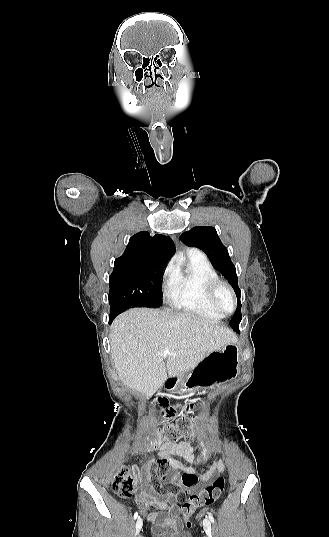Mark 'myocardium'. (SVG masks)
Returning a JSON list of instances; mask_svg holds the SVG:
<instances>
[{"label": "myocardium", "mask_w": 329, "mask_h": 537, "mask_svg": "<svg viewBox=\"0 0 329 537\" xmlns=\"http://www.w3.org/2000/svg\"><path fill=\"white\" fill-rule=\"evenodd\" d=\"M223 289L228 291L233 299V308L229 312L222 309V307L219 305L218 300H217L219 291ZM207 296H208V300L210 304L222 315H231L237 309L238 299H237L236 293L233 290V288L226 282H223L219 279L210 282L207 288Z\"/></svg>", "instance_id": "f54148a6"}]
</instances>
